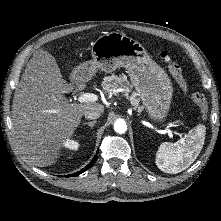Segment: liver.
Segmentation results:
<instances>
[{
    "label": "liver",
    "instance_id": "6515ba94",
    "mask_svg": "<svg viewBox=\"0 0 221 221\" xmlns=\"http://www.w3.org/2000/svg\"><path fill=\"white\" fill-rule=\"evenodd\" d=\"M60 79L55 58L40 48L28 62L14 93L12 125L17 148L38 167L56 162L85 111L104 112L100 103H69L57 88Z\"/></svg>",
    "mask_w": 221,
    "mask_h": 221
}]
</instances>
